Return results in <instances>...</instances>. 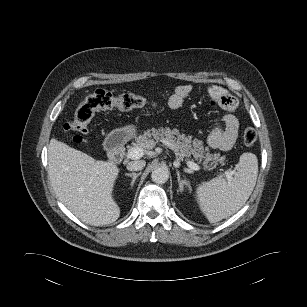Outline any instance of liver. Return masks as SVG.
Returning <instances> with one entry per match:
<instances>
[{
  "mask_svg": "<svg viewBox=\"0 0 307 307\" xmlns=\"http://www.w3.org/2000/svg\"><path fill=\"white\" fill-rule=\"evenodd\" d=\"M119 169L51 139L48 174L58 199L82 222L103 226L115 222L120 208L112 197Z\"/></svg>",
  "mask_w": 307,
  "mask_h": 307,
  "instance_id": "liver-1",
  "label": "liver"
}]
</instances>
